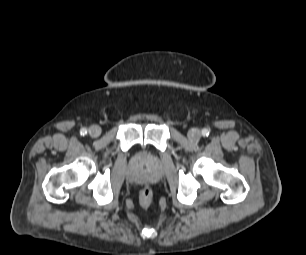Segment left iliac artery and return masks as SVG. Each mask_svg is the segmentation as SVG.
<instances>
[{"instance_id": "left-iliac-artery-1", "label": "left iliac artery", "mask_w": 306, "mask_h": 255, "mask_svg": "<svg viewBox=\"0 0 306 255\" xmlns=\"http://www.w3.org/2000/svg\"><path fill=\"white\" fill-rule=\"evenodd\" d=\"M202 134H203V136H208V135H209V130L206 129V128H204V129L202 130Z\"/></svg>"}]
</instances>
